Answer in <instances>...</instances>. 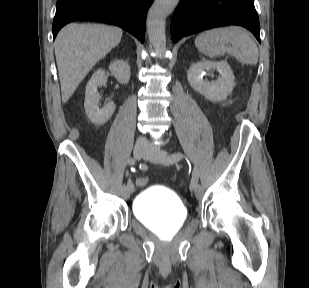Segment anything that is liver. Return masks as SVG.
I'll return each mask as SVG.
<instances>
[{
    "label": "liver",
    "mask_w": 309,
    "mask_h": 288,
    "mask_svg": "<svg viewBox=\"0 0 309 288\" xmlns=\"http://www.w3.org/2000/svg\"><path fill=\"white\" fill-rule=\"evenodd\" d=\"M121 38L120 28L101 24L70 23L61 29L55 40V56L63 103Z\"/></svg>",
    "instance_id": "obj_1"
}]
</instances>
